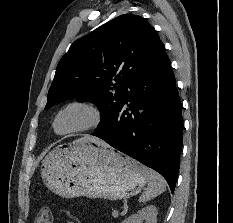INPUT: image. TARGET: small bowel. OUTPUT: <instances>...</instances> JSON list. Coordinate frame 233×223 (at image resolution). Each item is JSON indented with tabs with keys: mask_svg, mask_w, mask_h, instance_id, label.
<instances>
[{
	"mask_svg": "<svg viewBox=\"0 0 233 223\" xmlns=\"http://www.w3.org/2000/svg\"><path fill=\"white\" fill-rule=\"evenodd\" d=\"M67 223H73L72 221H68Z\"/></svg>",
	"mask_w": 233,
	"mask_h": 223,
	"instance_id": "1",
	"label": "small bowel"
}]
</instances>
